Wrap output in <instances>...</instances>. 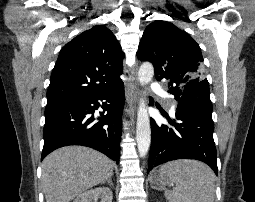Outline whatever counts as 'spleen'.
Here are the masks:
<instances>
[{
  "instance_id": "1",
  "label": "spleen",
  "mask_w": 255,
  "mask_h": 202,
  "mask_svg": "<svg viewBox=\"0 0 255 202\" xmlns=\"http://www.w3.org/2000/svg\"><path fill=\"white\" fill-rule=\"evenodd\" d=\"M159 173L174 186L165 191L169 202H214L215 175L199 161L179 160L162 165Z\"/></svg>"
}]
</instances>
